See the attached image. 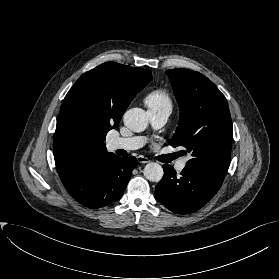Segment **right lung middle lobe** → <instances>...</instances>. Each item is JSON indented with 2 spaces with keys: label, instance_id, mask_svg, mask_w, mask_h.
Listing matches in <instances>:
<instances>
[{
  "label": "right lung middle lobe",
  "instance_id": "obj_1",
  "mask_svg": "<svg viewBox=\"0 0 279 279\" xmlns=\"http://www.w3.org/2000/svg\"><path fill=\"white\" fill-rule=\"evenodd\" d=\"M77 131L79 140H84L93 133L94 129L88 121L80 118L77 125Z\"/></svg>",
  "mask_w": 279,
  "mask_h": 279
}]
</instances>
